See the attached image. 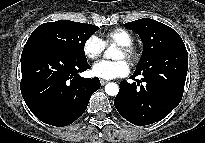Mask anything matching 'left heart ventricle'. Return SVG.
<instances>
[{
  "instance_id": "b2bd125f",
  "label": "left heart ventricle",
  "mask_w": 205,
  "mask_h": 143,
  "mask_svg": "<svg viewBox=\"0 0 205 143\" xmlns=\"http://www.w3.org/2000/svg\"><path fill=\"white\" fill-rule=\"evenodd\" d=\"M113 58L116 59V60L124 59V53L120 49H117L114 53Z\"/></svg>"
}]
</instances>
